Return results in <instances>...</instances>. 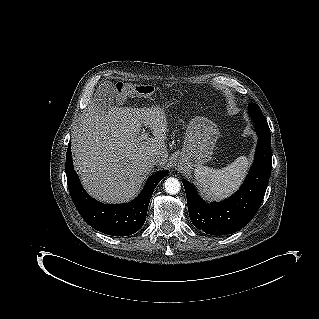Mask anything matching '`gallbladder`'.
<instances>
[{"label": "gallbladder", "mask_w": 319, "mask_h": 319, "mask_svg": "<svg viewBox=\"0 0 319 319\" xmlns=\"http://www.w3.org/2000/svg\"><path fill=\"white\" fill-rule=\"evenodd\" d=\"M97 103L101 109H107V107L112 103V95L107 94L105 97L102 95L98 96Z\"/></svg>", "instance_id": "gallbladder-1"}]
</instances>
